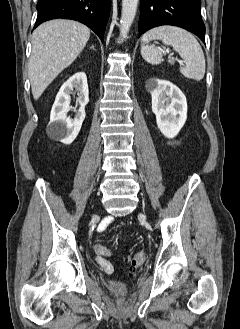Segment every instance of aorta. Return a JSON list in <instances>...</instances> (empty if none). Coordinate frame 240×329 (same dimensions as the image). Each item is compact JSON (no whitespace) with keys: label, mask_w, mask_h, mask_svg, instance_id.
<instances>
[{"label":"aorta","mask_w":240,"mask_h":329,"mask_svg":"<svg viewBox=\"0 0 240 329\" xmlns=\"http://www.w3.org/2000/svg\"><path fill=\"white\" fill-rule=\"evenodd\" d=\"M139 0H122L120 35L125 38L130 30L137 12Z\"/></svg>","instance_id":"762f6f07"}]
</instances>
